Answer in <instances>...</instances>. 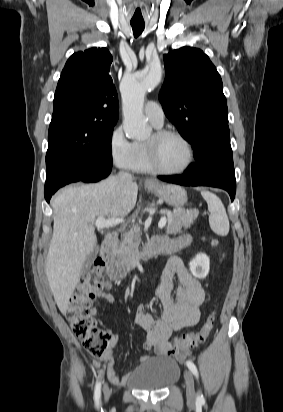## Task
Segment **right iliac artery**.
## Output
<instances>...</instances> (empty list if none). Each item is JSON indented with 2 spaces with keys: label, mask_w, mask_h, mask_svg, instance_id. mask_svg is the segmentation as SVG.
<instances>
[{
  "label": "right iliac artery",
  "mask_w": 283,
  "mask_h": 412,
  "mask_svg": "<svg viewBox=\"0 0 283 412\" xmlns=\"http://www.w3.org/2000/svg\"><path fill=\"white\" fill-rule=\"evenodd\" d=\"M100 397H101V383L97 381L96 386H95V391H94V400H95L96 406H99Z\"/></svg>",
  "instance_id": "right-iliac-artery-1"
}]
</instances>
